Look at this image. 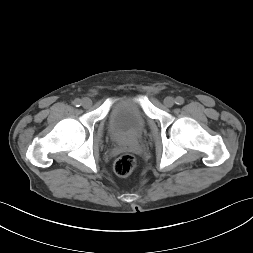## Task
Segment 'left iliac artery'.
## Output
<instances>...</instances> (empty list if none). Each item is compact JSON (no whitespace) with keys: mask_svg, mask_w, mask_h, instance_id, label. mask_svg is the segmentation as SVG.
Listing matches in <instances>:
<instances>
[{"mask_svg":"<svg viewBox=\"0 0 253 253\" xmlns=\"http://www.w3.org/2000/svg\"><path fill=\"white\" fill-rule=\"evenodd\" d=\"M175 103L178 105H182L184 103V99L180 96L176 97Z\"/></svg>","mask_w":253,"mask_h":253,"instance_id":"44dca946","label":"left iliac artery"}]
</instances>
